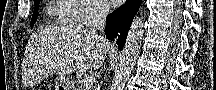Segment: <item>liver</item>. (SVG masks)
<instances>
[{"instance_id":"liver-1","label":"liver","mask_w":216,"mask_h":90,"mask_svg":"<svg viewBox=\"0 0 216 90\" xmlns=\"http://www.w3.org/2000/svg\"><path fill=\"white\" fill-rule=\"evenodd\" d=\"M101 44L103 42L97 32L85 30L78 22L66 28H53L41 44L45 54L42 62L59 74L97 70L107 52Z\"/></svg>"}]
</instances>
